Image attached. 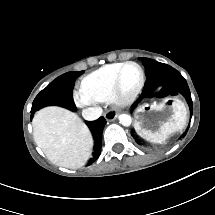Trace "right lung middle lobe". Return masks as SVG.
Returning a JSON list of instances; mask_svg holds the SVG:
<instances>
[{"label":"right lung middle lobe","instance_id":"1","mask_svg":"<svg viewBox=\"0 0 215 215\" xmlns=\"http://www.w3.org/2000/svg\"><path fill=\"white\" fill-rule=\"evenodd\" d=\"M82 73L83 71L68 72L52 81L34 99L31 117L36 111L48 105H60L74 111L76 106L72 95L73 86L75 79Z\"/></svg>","mask_w":215,"mask_h":215}]
</instances>
